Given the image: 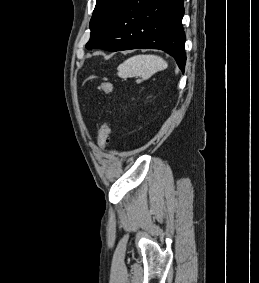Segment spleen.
Masks as SVG:
<instances>
[{"label":"spleen","mask_w":259,"mask_h":283,"mask_svg":"<svg viewBox=\"0 0 259 283\" xmlns=\"http://www.w3.org/2000/svg\"><path fill=\"white\" fill-rule=\"evenodd\" d=\"M167 62L157 55H136L125 60L118 67L120 77L140 76L148 79L154 73L167 68Z\"/></svg>","instance_id":"spleen-1"}]
</instances>
